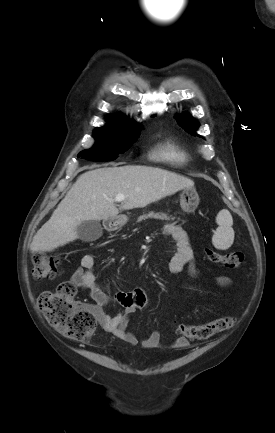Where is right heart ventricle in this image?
Instances as JSON below:
<instances>
[{
    "instance_id": "obj_1",
    "label": "right heart ventricle",
    "mask_w": 275,
    "mask_h": 433,
    "mask_svg": "<svg viewBox=\"0 0 275 433\" xmlns=\"http://www.w3.org/2000/svg\"><path fill=\"white\" fill-rule=\"evenodd\" d=\"M156 156L173 164H184L187 160L186 153L174 143H166L157 152Z\"/></svg>"
}]
</instances>
